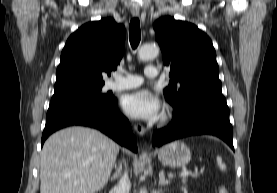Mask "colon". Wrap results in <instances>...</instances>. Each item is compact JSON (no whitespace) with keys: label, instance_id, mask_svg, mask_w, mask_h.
Segmentation results:
<instances>
[{"label":"colon","instance_id":"obj_1","mask_svg":"<svg viewBox=\"0 0 277 193\" xmlns=\"http://www.w3.org/2000/svg\"><path fill=\"white\" fill-rule=\"evenodd\" d=\"M219 193H229L226 186L222 185L219 188Z\"/></svg>","mask_w":277,"mask_h":193}]
</instances>
